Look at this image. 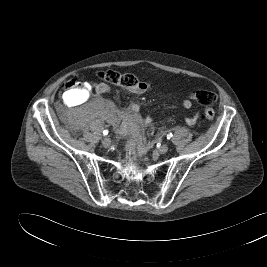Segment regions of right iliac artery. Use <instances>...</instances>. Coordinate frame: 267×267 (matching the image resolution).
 Masks as SVG:
<instances>
[{
  "instance_id": "1",
  "label": "right iliac artery",
  "mask_w": 267,
  "mask_h": 267,
  "mask_svg": "<svg viewBox=\"0 0 267 267\" xmlns=\"http://www.w3.org/2000/svg\"><path fill=\"white\" fill-rule=\"evenodd\" d=\"M108 133H109L108 130H104V131H103V134H104V135H107Z\"/></svg>"
}]
</instances>
